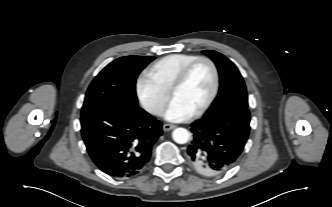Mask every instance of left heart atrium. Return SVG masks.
I'll return each mask as SVG.
<instances>
[{"label":"left heart atrium","instance_id":"39dd6f15","mask_svg":"<svg viewBox=\"0 0 332 207\" xmlns=\"http://www.w3.org/2000/svg\"><path fill=\"white\" fill-rule=\"evenodd\" d=\"M193 112L185 107L177 99H172L168 107L164 111V117L171 122H180L189 119Z\"/></svg>","mask_w":332,"mask_h":207}]
</instances>
